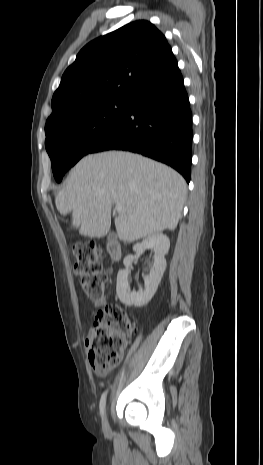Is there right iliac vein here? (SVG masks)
<instances>
[{
    "label": "right iliac vein",
    "instance_id": "obj_1",
    "mask_svg": "<svg viewBox=\"0 0 263 465\" xmlns=\"http://www.w3.org/2000/svg\"><path fill=\"white\" fill-rule=\"evenodd\" d=\"M103 429H104L105 431H108V430H109V424H108V420H107L106 415H104V418H103Z\"/></svg>",
    "mask_w": 263,
    "mask_h": 465
}]
</instances>
